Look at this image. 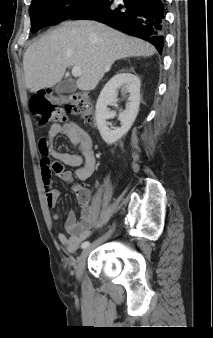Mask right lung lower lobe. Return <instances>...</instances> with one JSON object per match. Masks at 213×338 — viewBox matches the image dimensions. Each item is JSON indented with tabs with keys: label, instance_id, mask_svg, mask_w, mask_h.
Here are the masks:
<instances>
[{
	"label": "right lung lower lobe",
	"instance_id": "98d812e1",
	"mask_svg": "<svg viewBox=\"0 0 213 338\" xmlns=\"http://www.w3.org/2000/svg\"><path fill=\"white\" fill-rule=\"evenodd\" d=\"M164 0H95L71 19H89L145 39L163 49Z\"/></svg>",
	"mask_w": 213,
	"mask_h": 338
}]
</instances>
